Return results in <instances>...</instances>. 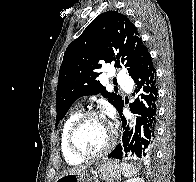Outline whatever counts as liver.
Wrapping results in <instances>:
<instances>
[{"label":"liver","mask_w":196,"mask_h":182,"mask_svg":"<svg viewBox=\"0 0 196 182\" xmlns=\"http://www.w3.org/2000/svg\"><path fill=\"white\" fill-rule=\"evenodd\" d=\"M87 168L88 166L74 167L67 170L64 174H80L82 172H85Z\"/></svg>","instance_id":"6515ba94"}]
</instances>
